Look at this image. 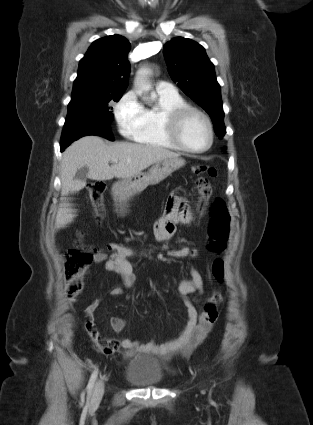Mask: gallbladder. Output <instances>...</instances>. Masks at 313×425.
<instances>
[{
	"label": "gallbladder",
	"mask_w": 313,
	"mask_h": 425,
	"mask_svg": "<svg viewBox=\"0 0 313 425\" xmlns=\"http://www.w3.org/2000/svg\"><path fill=\"white\" fill-rule=\"evenodd\" d=\"M88 171H89L88 167L86 166L80 168L76 173V176H75L76 180L85 182L86 179L88 178Z\"/></svg>",
	"instance_id": "1"
}]
</instances>
